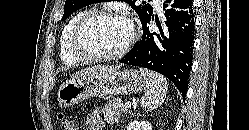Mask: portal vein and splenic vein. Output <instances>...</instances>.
Instances as JSON below:
<instances>
[{
    "label": "portal vein and splenic vein",
    "instance_id": "18ae733b",
    "mask_svg": "<svg viewBox=\"0 0 249 130\" xmlns=\"http://www.w3.org/2000/svg\"><path fill=\"white\" fill-rule=\"evenodd\" d=\"M124 107H125V109H129V108H131V104L130 103H125Z\"/></svg>",
    "mask_w": 249,
    "mask_h": 130
}]
</instances>
